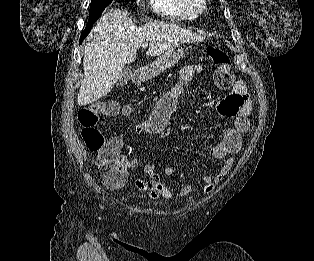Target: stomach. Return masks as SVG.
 Listing matches in <instances>:
<instances>
[{"mask_svg":"<svg viewBox=\"0 0 314 261\" xmlns=\"http://www.w3.org/2000/svg\"><path fill=\"white\" fill-rule=\"evenodd\" d=\"M182 57H184V48L180 45L165 51L151 65L144 69L140 75V79L144 81L160 75L164 70L178 63Z\"/></svg>","mask_w":314,"mask_h":261,"instance_id":"stomach-1","label":"stomach"}]
</instances>
